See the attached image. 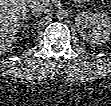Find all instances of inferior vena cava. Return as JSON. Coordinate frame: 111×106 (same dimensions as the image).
<instances>
[{
  "instance_id": "602c4592",
  "label": "inferior vena cava",
  "mask_w": 111,
  "mask_h": 106,
  "mask_svg": "<svg viewBox=\"0 0 111 106\" xmlns=\"http://www.w3.org/2000/svg\"><path fill=\"white\" fill-rule=\"evenodd\" d=\"M47 5L48 3L46 1H41V0L32 1L30 4L31 12L38 16L43 13H47L48 12V9L46 8Z\"/></svg>"
}]
</instances>
